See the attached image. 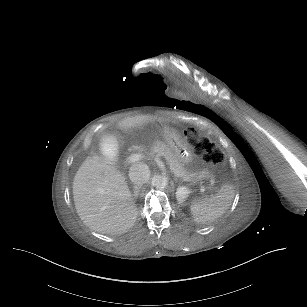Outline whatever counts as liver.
<instances>
[{
    "label": "liver",
    "mask_w": 307,
    "mask_h": 307,
    "mask_svg": "<svg viewBox=\"0 0 307 307\" xmlns=\"http://www.w3.org/2000/svg\"><path fill=\"white\" fill-rule=\"evenodd\" d=\"M153 116L127 117L118 123L122 130L140 127ZM76 211L91 230L119 234L133 227L137 208L125 177L109 161L99 156L87 157L73 181Z\"/></svg>",
    "instance_id": "liver-1"
}]
</instances>
